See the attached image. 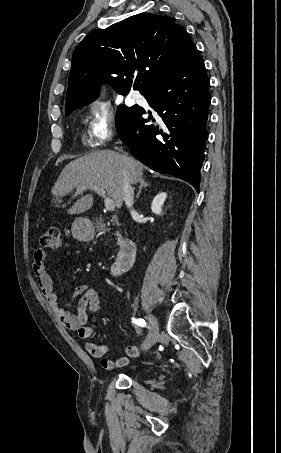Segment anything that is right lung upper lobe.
I'll return each instance as SVG.
<instances>
[{
  "mask_svg": "<svg viewBox=\"0 0 281 453\" xmlns=\"http://www.w3.org/2000/svg\"><path fill=\"white\" fill-rule=\"evenodd\" d=\"M197 54L186 30L168 16L140 13L94 30L73 54L65 113L96 100L101 81L119 94H143Z\"/></svg>",
  "mask_w": 281,
  "mask_h": 453,
  "instance_id": "obj_1",
  "label": "right lung upper lobe"
}]
</instances>
